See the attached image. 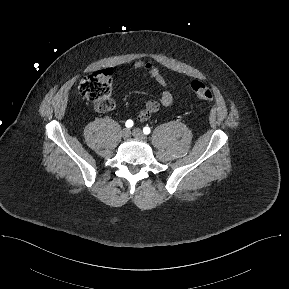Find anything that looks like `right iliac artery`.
Masks as SVG:
<instances>
[{"label": "right iliac artery", "instance_id": "82829eb1", "mask_svg": "<svg viewBox=\"0 0 289 289\" xmlns=\"http://www.w3.org/2000/svg\"><path fill=\"white\" fill-rule=\"evenodd\" d=\"M133 124H134L133 121L130 120V119L127 120L126 123H125V125H126L127 128H131V127L133 126Z\"/></svg>", "mask_w": 289, "mask_h": 289}]
</instances>
